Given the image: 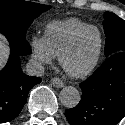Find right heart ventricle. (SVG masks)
Listing matches in <instances>:
<instances>
[{
	"label": "right heart ventricle",
	"mask_w": 125,
	"mask_h": 125,
	"mask_svg": "<svg viewBox=\"0 0 125 125\" xmlns=\"http://www.w3.org/2000/svg\"><path fill=\"white\" fill-rule=\"evenodd\" d=\"M89 25L74 17L55 20L46 25L43 37L46 45L56 57L75 32Z\"/></svg>",
	"instance_id": "obj_1"
}]
</instances>
